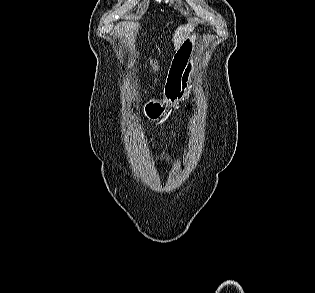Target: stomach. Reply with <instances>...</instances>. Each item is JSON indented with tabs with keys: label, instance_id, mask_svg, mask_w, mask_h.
Returning a JSON list of instances; mask_svg holds the SVG:
<instances>
[{
	"label": "stomach",
	"instance_id": "0dacf381",
	"mask_svg": "<svg viewBox=\"0 0 315 293\" xmlns=\"http://www.w3.org/2000/svg\"><path fill=\"white\" fill-rule=\"evenodd\" d=\"M203 43L204 37L192 33L179 46L168 71L163 101L152 100L147 103L144 109L147 118L158 120L192 89L198 70V52Z\"/></svg>",
	"mask_w": 315,
	"mask_h": 293
}]
</instances>
